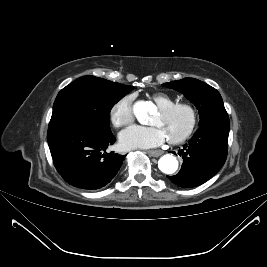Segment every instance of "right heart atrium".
<instances>
[{
  "label": "right heart atrium",
  "mask_w": 267,
  "mask_h": 267,
  "mask_svg": "<svg viewBox=\"0 0 267 267\" xmlns=\"http://www.w3.org/2000/svg\"><path fill=\"white\" fill-rule=\"evenodd\" d=\"M133 97L125 95L117 100L110 109V120L116 128H122L133 121Z\"/></svg>",
  "instance_id": "right-heart-atrium-1"
}]
</instances>
